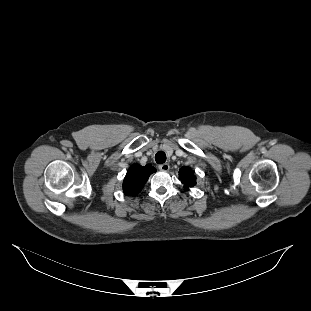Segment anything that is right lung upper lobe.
<instances>
[{
	"mask_svg": "<svg viewBox=\"0 0 311 311\" xmlns=\"http://www.w3.org/2000/svg\"><path fill=\"white\" fill-rule=\"evenodd\" d=\"M154 172H156V169L151 165H132L128 169L123 182L124 193L128 196L137 195L147 182L149 176Z\"/></svg>",
	"mask_w": 311,
	"mask_h": 311,
	"instance_id": "right-lung-upper-lobe-1",
	"label": "right lung upper lobe"
}]
</instances>
